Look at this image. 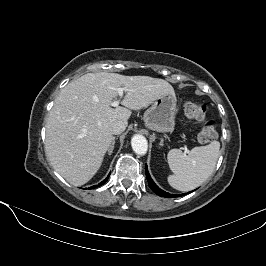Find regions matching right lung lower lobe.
I'll return each instance as SVG.
<instances>
[{
    "mask_svg": "<svg viewBox=\"0 0 266 266\" xmlns=\"http://www.w3.org/2000/svg\"><path fill=\"white\" fill-rule=\"evenodd\" d=\"M109 176H110V174L107 176V178H106L105 180H103L101 183H99V184L96 185V186L98 187V186L103 185V184L108 180ZM96 186L90 187L89 189L95 188Z\"/></svg>",
    "mask_w": 266,
    "mask_h": 266,
    "instance_id": "right-lung-lower-lobe-1",
    "label": "right lung lower lobe"
}]
</instances>
